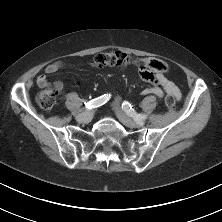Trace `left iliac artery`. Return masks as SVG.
Instances as JSON below:
<instances>
[{
    "instance_id": "left-iliac-artery-1",
    "label": "left iliac artery",
    "mask_w": 222,
    "mask_h": 222,
    "mask_svg": "<svg viewBox=\"0 0 222 222\" xmlns=\"http://www.w3.org/2000/svg\"><path fill=\"white\" fill-rule=\"evenodd\" d=\"M122 109L130 116L132 117L135 121H142L147 118V115L145 114H138L134 108L131 106V104L127 101H124L122 103Z\"/></svg>"
}]
</instances>
